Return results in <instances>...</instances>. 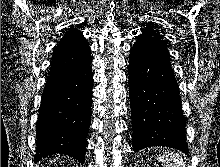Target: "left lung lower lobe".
I'll list each match as a JSON object with an SVG mask.
<instances>
[{
	"label": "left lung lower lobe",
	"mask_w": 220,
	"mask_h": 167,
	"mask_svg": "<svg viewBox=\"0 0 220 167\" xmlns=\"http://www.w3.org/2000/svg\"><path fill=\"white\" fill-rule=\"evenodd\" d=\"M129 94L134 151L166 146L188 153L186 122L170 56L132 50Z\"/></svg>",
	"instance_id": "left-lung-lower-lobe-1"
}]
</instances>
